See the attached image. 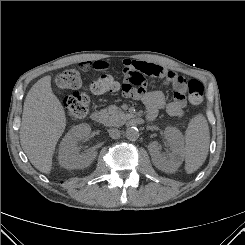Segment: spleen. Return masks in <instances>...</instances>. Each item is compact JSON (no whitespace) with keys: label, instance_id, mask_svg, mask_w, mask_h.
<instances>
[{"label":"spleen","instance_id":"3e777b00","mask_svg":"<svg viewBox=\"0 0 245 245\" xmlns=\"http://www.w3.org/2000/svg\"><path fill=\"white\" fill-rule=\"evenodd\" d=\"M210 142L209 127L202 114L194 116L185 132V170L195 172L205 161Z\"/></svg>","mask_w":245,"mask_h":245}]
</instances>
